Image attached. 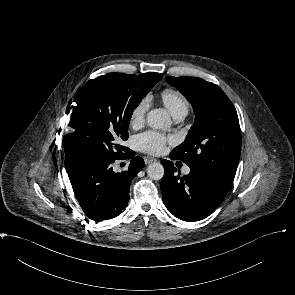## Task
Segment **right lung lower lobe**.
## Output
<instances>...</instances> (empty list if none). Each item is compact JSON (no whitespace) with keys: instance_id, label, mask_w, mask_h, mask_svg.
Returning a JSON list of instances; mask_svg holds the SVG:
<instances>
[{"instance_id":"right-lung-lower-lobe-1","label":"right lung lower lobe","mask_w":295,"mask_h":295,"mask_svg":"<svg viewBox=\"0 0 295 295\" xmlns=\"http://www.w3.org/2000/svg\"><path fill=\"white\" fill-rule=\"evenodd\" d=\"M128 149L120 158L92 156L75 162L67 171L74 194L85 215L98 222L118 216L128 205L130 184L145 166ZM131 159L126 171L114 172L115 160Z\"/></svg>"}]
</instances>
